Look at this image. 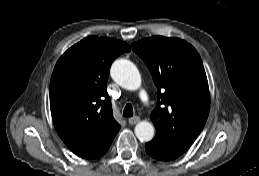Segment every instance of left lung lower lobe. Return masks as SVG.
Segmentation results:
<instances>
[{
  "label": "left lung lower lobe",
  "instance_id": "left-lung-lower-lobe-1",
  "mask_svg": "<svg viewBox=\"0 0 259 176\" xmlns=\"http://www.w3.org/2000/svg\"><path fill=\"white\" fill-rule=\"evenodd\" d=\"M146 152L148 155H150L152 158L159 160V161H170L173 159H176L177 157H174L172 155H169L167 153H164L162 150L154 148L153 145L148 142L145 145Z\"/></svg>",
  "mask_w": 259,
  "mask_h": 176
}]
</instances>
